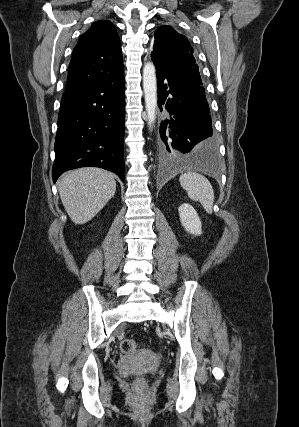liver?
Returning a JSON list of instances; mask_svg holds the SVG:
<instances>
[{"instance_id": "1", "label": "liver", "mask_w": 299, "mask_h": 427, "mask_svg": "<svg viewBox=\"0 0 299 427\" xmlns=\"http://www.w3.org/2000/svg\"><path fill=\"white\" fill-rule=\"evenodd\" d=\"M58 189L68 216L75 224H84L114 196L116 182L106 170L85 167L65 174Z\"/></svg>"}]
</instances>
